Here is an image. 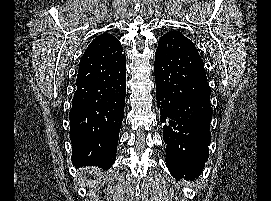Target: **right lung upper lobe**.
I'll return each instance as SVG.
<instances>
[{"label":"right lung upper lobe","mask_w":271,"mask_h":201,"mask_svg":"<svg viewBox=\"0 0 271 201\" xmlns=\"http://www.w3.org/2000/svg\"><path fill=\"white\" fill-rule=\"evenodd\" d=\"M103 36H106V38H114L113 35H111V34H109V35L108 34H104Z\"/></svg>","instance_id":"obj_1"}]
</instances>
